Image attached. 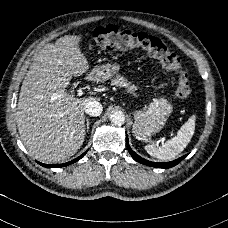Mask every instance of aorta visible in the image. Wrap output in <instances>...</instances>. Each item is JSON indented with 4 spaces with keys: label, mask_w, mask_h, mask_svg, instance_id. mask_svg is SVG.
Listing matches in <instances>:
<instances>
[{
    "label": "aorta",
    "mask_w": 228,
    "mask_h": 228,
    "mask_svg": "<svg viewBox=\"0 0 228 228\" xmlns=\"http://www.w3.org/2000/svg\"><path fill=\"white\" fill-rule=\"evenodd\" d=\"M110 121L114 125L121 126L125 122V115L122 111H115L110 115Z\"/></svg>",
    "instance_id": "762f6f07"
}]
</instances>
